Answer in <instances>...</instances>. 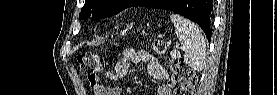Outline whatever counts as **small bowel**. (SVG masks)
<instances>
[{
    "instance_id": "small-bowel-1",
    "label": "small bowel",
    "mask_w": 277,
    "mask_h": 95,
    "mask_svg": "<svg viewBox=\"0 0 277 95\" xmlns=\"http://www.w3.org/2000/svg\"><path fill=\"white\" fill-rule=\"evenodd\" d=\"M130 62H144L147 65L148 72L155 78L164 81L157 90L158 95H171L175 87V81L171 74L160 64L159 60L149 55L146 51H135L133 48H126L122 59L116 64L114 71L107 72L105 77L110 81H117L123 78L129 68ZM90 86L94 95H119L120 89L107 87L103 84L100 77H94L90 80Z\"/></svg>"
}]
</instances>
